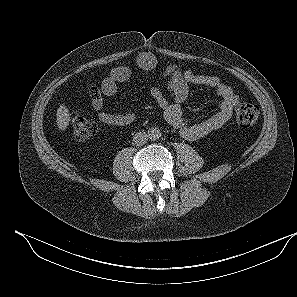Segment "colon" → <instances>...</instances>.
Listing matches in <instances>:
<instances>
[{"label":"colon","instance_id":"5ec220e1","mask_svg":"<svg viewBox=\"0 0 297 297\" xmlns=\"http://www.w3.org/2000/svg\"><path fill=\"white\" fill-rule=\"evenodd\" d=\"M259 115L260 109L256 104L241 103L236 109V119L238 124L242 127L254 125ZM69 121L73 128V134L78 140L87 139L96 133V123L80 113L70 114Z\"/></svg>","mask_w":297,"mask_h":297}]
</instances>
